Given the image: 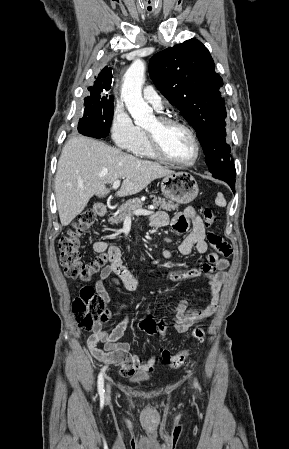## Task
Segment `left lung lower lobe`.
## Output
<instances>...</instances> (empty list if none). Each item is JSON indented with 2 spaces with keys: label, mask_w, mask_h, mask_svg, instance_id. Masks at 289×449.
Returning <instances> with one entry per match:
<instances>
[{
  "label": "left lung lower lobe",
  "mask_w": 289,
  "mask_h": 449,
  "mask_svg": "<svg viewBox=\"0 0 289 449\" xmlns=\"http://www.w3.org/2000/svg\"><path fill=\"white\" fill-rule=\"evenodd\" d=\"M228 183L232 189V191L235 193V179H220Z\"/></svg>",
  "instance_id": "1"
}]
</instances>
